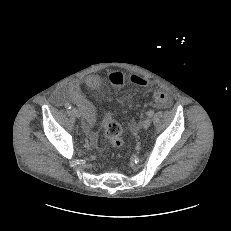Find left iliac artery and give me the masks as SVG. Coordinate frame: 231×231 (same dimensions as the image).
<instances>
[{"mask_svg":"<svg viewBox=\"0 0 231 231\" xmlns=\"http://www.w3.org/2000/svg\"><path fill=\"white\" fill-rule=\"evenodd\" d=\"M153 114H154V111H153V110H149L148 113H147L148 117H152Z\"/></svg>","mask_w":231,"mask_h":231,"instance_id":"obj_1","label":"left iliac artery"}]
</instances>
